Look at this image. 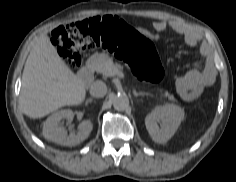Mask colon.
<instances>
[{"label":"colon","instance_id":"1","mask_svg":"<svg viewBox=\"0 0 236 182\" xmlns=\"http://www.w3.org/2000/svg\"><path fill=\"white\" fill-rule=\"evenodd\" d=\"M52 43L71 68L80 66L83 51L102 47L124 60L142 80L156 82L163 75L150 39L118 17L106 16L61 25L53 30Z\"/></svg>","mask_w":236,"mask_h":182}]
</instances>
